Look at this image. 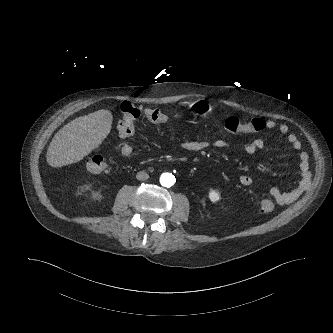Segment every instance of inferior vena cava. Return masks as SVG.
Wrapping results in <instances>:
<instances>
[{
  "instance_id": "602c4592",
  "label": "inferior vena cava",
  "mask_w": 333,
  "mask_h": 333,
  "mask_svg": "<svg viewBox=\"0 0 333 333\" xmlns=\"http://www.w3.org/2000/svg\"><path fill=\"white\" fill-rule=\"evenodd\" d=\"M136 178L138 180L144 181V180H147L149 178V175L145 171H140V172L137 173Z\"/></svg>"
}]
</instances>
